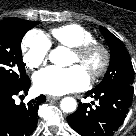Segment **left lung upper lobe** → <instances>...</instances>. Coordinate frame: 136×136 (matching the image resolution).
Returning a JSON list of instances; mask_svg holds the SVG:
<instances>
[{
    "label": "left lung upper lobe",
    "instance_id": "5c2ea615",
    "mask_svg": "<svg viewBox=\"0 0 136 136\" xmlns=\"http://www.w3.org/2000/svg\"><path fill=\"white\" fill-rule=\"evenodd\" d=\"M111 51L110 65L103 81L95 89L114 85H133V66L124 44L110 31L100 27Z\"/></svg>",
    "mask_w": 136,
    "mask_h": 136
}]
</instances>
